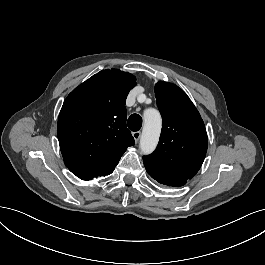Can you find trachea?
I'll return each instance as SVG.
<instances>
[{
	"instance_id": "1",
	"label": "trachea",
	"mask_w": 265,
	"mask_h": 265,
	"mask_svg": "<svg viewBox=\"0 0 265 265\" xmlns=\"http://www.w3.org/2000/svg\"><path fill=\"white\" fill-rule=\"evenodd\" d=\"M128 128L131 131H138L141 126H142V118L140 115L138 114H132L129 118H128V122H127Z\"/></svg>"
}]
</instances>
